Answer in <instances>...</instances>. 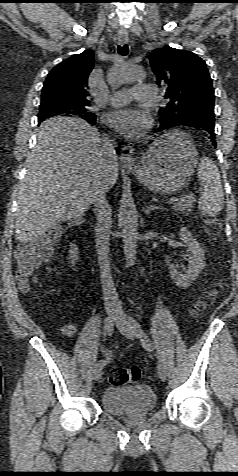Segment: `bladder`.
Returning <instances> with one entry per match:
<instances>
[{"instance_id": "obj_1", "label": "bladder", "mask_w": 238, "mask_h": 476, "mask_svg": "<svg viewBox=\"0 0 238 476\" xmlns=\"http://www.w3.org/2000/svg\"><path fill=\"white\" fill-rule=\"evenodd\" d=\"M102 408L115 416H131L151 412L157 405L153 389L145 384L114 385L101 395Z\"/></svg>"}]
</instances>
